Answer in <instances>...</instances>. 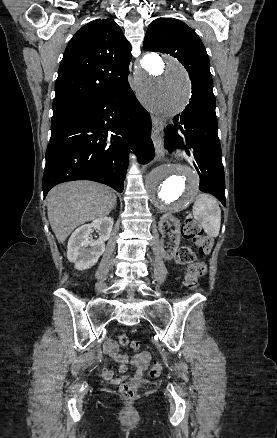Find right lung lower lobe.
<instances>
[{"label": "right lung lower lobe", "instance_id": "obj_1", "mask_svg": "<svg viewBox=\"0 0 277 438\" xmlns=\"http://www.w3.org/2000/svg\"><path fill=\"white\" fill-rule=\"evenodd\" d=\"M70 68L92 71L72 64ZM149 113L127 80L91 97L51 123L43 174L44 198L55 185L92 180L123 191L129 151L140 163L154 157Z\"/></svg>", "mask_w": 277, "mask_h": 438}]
</instances>
